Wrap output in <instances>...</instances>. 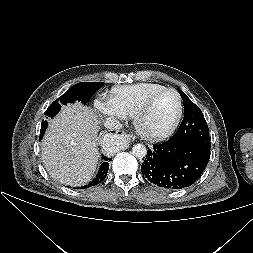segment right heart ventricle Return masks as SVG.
<instances>
[{
	"mask_svg": "<svg viewBox=\"0 0 253 253\" xmlns=\"http://www.w3.org/2000/svg\"><path fill=\"white\" fill-rule=\"evenodd\" d=\"M165 88L157 83H137L112 89L109 100L122 117L132 118L145 98Z\"/></svg>",
	"mask_w": 253,
	"mask_h": 253,
	"instance_id": "obj_1",
	"label": "right heart ventricle"
}]
</instances>
